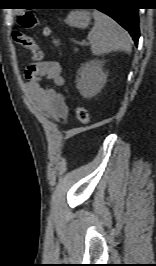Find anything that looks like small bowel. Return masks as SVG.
<instances>
[{"label":"small bowel","instance_id":"1","mask_svg":"<svg viewBox=\"0 0 156 266\" xmlns=\"http://www.w3.org/2000/svg\"><path fill=\"white\" fill-rule=\"evenodd\" d=\"M52 81L54 86L64 84L62 69L57 61H42L31 64L25 71L26 89L34 107L58 123H66L69 109L65 96L52 87H46L43 80Z\"/></svg>","mask_w":156,"mask_h":266}]
</instances>
